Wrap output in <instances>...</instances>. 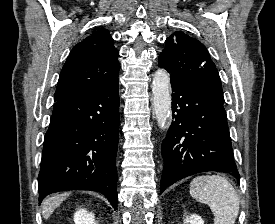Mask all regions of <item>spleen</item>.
I'll list each match as a JSON object with an SVG mask.
<instances>
[{
	"mask_svg": "<svg viewBox=\"0 0 275 224\" xmlns=\"http://www.w3.org/2000/svg\"><path fill=\"white\" fill-rule=\"evenodd\" d=\"M190 195L207 204L214 214V224H235L239 197L233 185L219 175H202L190 183Z\"/></svg>",
	"mask_w": 275,
	"mask_h": 224,
	"instance_id": "obj_1",
	"label": "spleen"
}]
</instances>
